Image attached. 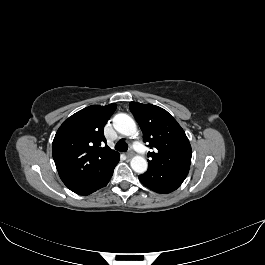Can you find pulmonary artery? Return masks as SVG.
Wrapping results in <instances>:
<instances>
[{"instance_id":"1","label":"pulmonary artery","mask_w":265,"mask_h":265,"mask_svg":"<svg viewBox=\"0 0 265 265\" xmlns=\"http://www.w3.org/2000/svg\"><path fill=\"white\" fill-rule=\"evenodd\" d=\"M134 146L136 150L141 154H146L148 152V149L140 143H135Z\"/></svg>"}]
</instances>
